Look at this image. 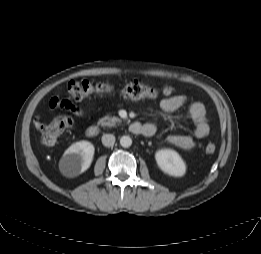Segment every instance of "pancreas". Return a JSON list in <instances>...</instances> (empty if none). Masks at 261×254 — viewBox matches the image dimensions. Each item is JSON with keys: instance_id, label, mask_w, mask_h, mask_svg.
<instances>
[{"instance_id": "1", "label": "pancreas", "mask_w": 261, "mask_h": 254, "mask_svg": "<svg viewBox=\"0 0 261 254\" xmlns=\"http://www.w3.org/2000/svg\"><path fill=\"white\" fill-rule=\"evenodd\" d=\"M121 119H119L118 117H110L108 115L100 118L98 120V125H101L102 127H112L115 126L116 123H120Z\"/></svg>"}]
</instances>
